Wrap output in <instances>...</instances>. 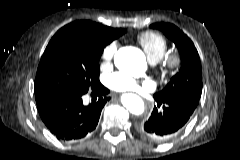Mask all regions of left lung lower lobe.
<instances>
[{
    "label": "left lung lower lobe",
    "mask_w": 240,
    "mask_h": 160,
    "mask_svg": "<svg viewBox=\"0 0 240 160\" xmlns=\"http://www.w3.org/2000/svg\"><path fill=\"white\" fill-rule=\"evenodd\" d=\"M157 107L148 120L137 126L138 134L153 143L165 142L183 128L197 105L178 99H156ZM162 106V111L158 107Z\"/></svg>",
    "instance_id": "1"
}]
</instances>
